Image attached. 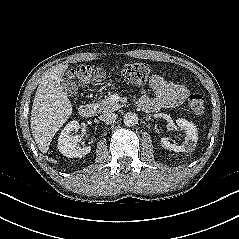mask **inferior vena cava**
<instances>
[{"label": "inferior vena cava", "mask_w": 239, "mask_h": 239, "mask_svg": "<svg viewBox=\"0 0 239 239\" xmlns=\"http://www.w3.org/2000/svg\"><path fill=\"white\" fill-rule=\"evenodd\" d=\"M118 115L113 112H104L100 115L99 119L105 123H113L117 119Z\"/></svg>", "instance_id": "602c4592"}]
</instances>
